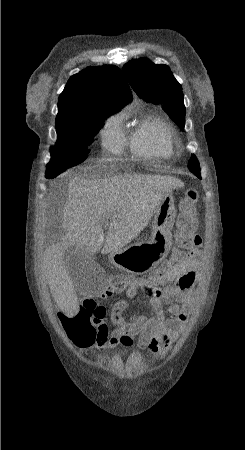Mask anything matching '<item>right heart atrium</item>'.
I'll use <instances>...</instances> for the list:
<instances>
[{
	"instance_id": "1",
	"label": "right heart atrium",
	"mask_w": 245,
	"mask_h": 450,
	"mask_svg": "<svg viewBox=\"0 0 245 450\" xmlns=\"http://www.w3.org/2000/svg\"><path fill=\"white\" fill-rule=\"evenodd\" d=\"M101 140L110 153H122L125 147V139L122 131V120L119 115H113L106 120L101 131Z\"/></svg>"
}]
</instances>
